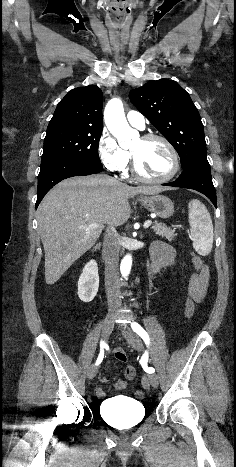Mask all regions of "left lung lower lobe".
<instances>
[{
	"mask_svg": "<svg viewBox=\"0 0 236 467\" xmlns=\"http://www.w3.org/2000/svg\"><path fill=\"white\" fill-rule=\"evenodd\" d=\"M166 186L194 189L206 195L217 207L216 191L212 182L210 165L206 157L198 158L183 168L180 177Z\"/></svg>",
	"mask_w": 236,
	"mask_h": 467,
	"instance_id": "0a47b994",
	"label": "left lung lower lobe"
}]
</instances>
